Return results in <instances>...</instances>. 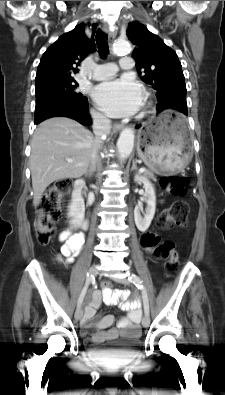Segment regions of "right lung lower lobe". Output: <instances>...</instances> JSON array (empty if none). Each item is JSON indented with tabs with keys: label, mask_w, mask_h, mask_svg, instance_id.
<instances>
[{
	"label": "right lung lower lobe",
	"mask_w": 225,
	"mask_h": 395,
	"mask_svg": "<svg viewBox=\"0 0 225 395\" xmlns=\"http://www.w3.org/2000/svg\"><path fill=\"white\" fill-rule=\"evenodd\" d=\"M87 98L83 99H61L44 108L35 111V124H39L51 117H69L77 120L83 125H90L91 118L87 112Z\"/></svg>",
	"instance_id": "98d812e1"
}]
</instances>
